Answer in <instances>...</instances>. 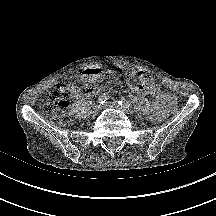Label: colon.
<instances>
[{
    "instance_id": "1",
    "label": "colon",
    "mask_w": 216,
    "mask_h": 216,
    "mask_svg": "<svg viewBox=\"0 0 216 216\" xmlns=\"http://www.w3.org/2000/svg\"><path fill=\"white\" fill-rule=\"evenodd\" d=\"M79 87L72 83L63 81L55 84L48 92L47 102L43 106V111L51 117L57 124L66 126L71 118L68 113L69 99L74 97ZM170 111L173 115L179 112L177 98L173 95L170 103Z\"/></svg>"
}]
</instances>
